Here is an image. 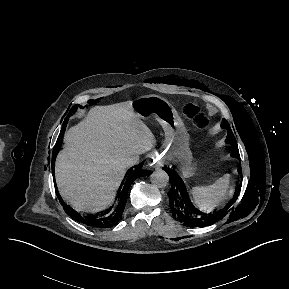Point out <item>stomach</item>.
<instances>
[{
    "mask_svg": "<svg viewBox=\"0 0 289 289\" xmlns=\"http://www.w3.org/2000/svg\"><path fill=\"white\" fill-rule=\"evenodd\" d=\"M133 109L140 118L154 117L160 123L165 133V157L178 164L182 172L190 174L194 169L190 138L172 104L158 96L149 95L136 99Z\"/></svg>",
    "mask_w": 289,
    "mask_h": 289,
    "instance_id": "obj_1",
    "label": "stomach"
}]
</instances>
